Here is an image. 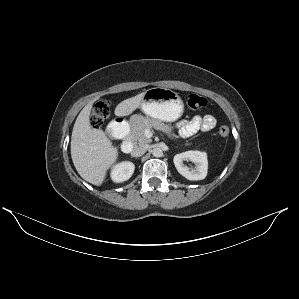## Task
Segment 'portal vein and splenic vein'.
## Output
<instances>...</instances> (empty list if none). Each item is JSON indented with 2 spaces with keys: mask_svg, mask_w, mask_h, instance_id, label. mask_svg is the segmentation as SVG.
Wrapping results in <instances>:
<instances>
[{
  "mask_svg": "<svg viewBox=\"0 0 299 299\" xmlns=\"http://www.w3.org/2000/svg\"><path fill=\"white\" fill-rule=\"evenodd\" d=\"M144 134H145V137H147L149 139L153 136V132L150 130H145Z\"/></svg>",
  "mask_w": 299,
  "mask_h": 299,
  "instance_id": "1",
  "label": "portal vein and splenic vein"
}]
</instances>
